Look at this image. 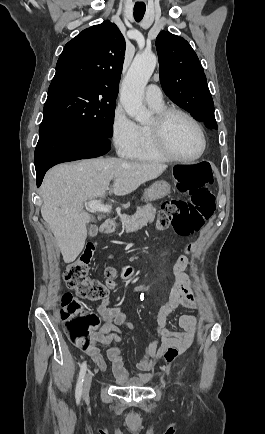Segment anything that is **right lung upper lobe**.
<instances>
[{
  "label": "right lung upper lobe",
  "instance_id": "cb5924a9",
  "mask_svg": "<svg viewBox=\"0 0 265 434\" xmlns=\"http://www.w3.org/2000/svg\"><path fill=\"white\" fill-rule=\"evenodd\" d=\"M125 47L114 23L105 21L87 28L65 45L53 80L88 78L118 89Z\"/></svg>",
  "mask_w": 265,
  "mask_h": 434
}]
</instances>
